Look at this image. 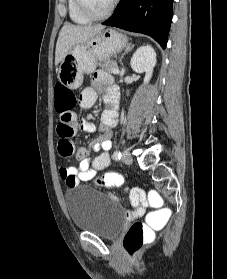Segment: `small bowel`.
<instances>
[{"instance_id": "small-bowel-1", "label": "small bowel", "mask_w": 227, "mask_h": 279, "mask_svg": "<svg viewBox=\"0 0 227 279\" xmlns=\"http://www.w3.org/2000/svg\"><path fill=\"white\" fill-rule=\"evenodd\" d=\"M105 88V89H104ZM105 93V101L109 106V109L102 114L101 122L99 126L100 136L96 140L92 141L89 145V149L97 154L95 157L89 156V149L85 147L74 148V145L70 139L64 137L61 138L59 144V153L62 157L61 151L66 147L67 144L72 146V153L75 158L79 161V165L66 166L60 169V176L66 183L70 185V181L74 178L77 184L80 181L91 180L97 172L106 168L111 161L109 150L112 147L111 137L113 128L118 122V93L116 86L113 83L112 78L106 73H96L91 80V85L84 88L79 96L80 107L84 110L92 108L97 100L99 93ZM72 127L80 128L86 133H93L96 131V125L89 119H83L80 123L75 118H72ZM133 207V213L136 216L142 215L147 207L148 202L146 198H140L133 193L131 200Z\"/></svg>"}]
</instances>
